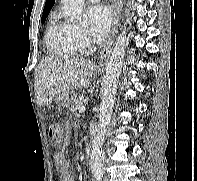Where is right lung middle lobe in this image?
<instances>
[{"instance_id": "1", "label": "right lung middle lobe", "mask_w": 197, "mask_h": 181, "mask_svg": "<svg viewBox=\"0 0 197 181\" xmlns=\"http://www.w3.org/2000/svg\"><path fill=\"white\" fill-rule=\"evenodd\" d=\"M47 16H48V14H46V15H43V16H42V18H41V22H42V23H44V22H45V20H46Z\"/></svg>"}]
</instances>
